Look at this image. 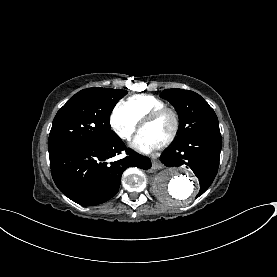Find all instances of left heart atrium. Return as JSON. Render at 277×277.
Returning a JSON list of instances; mask_svg holds the SVG:
<instances>
[{"label": "left heart atrium", "instance_id": "left-heart-atrium-1", "mask_svg": "<svg viewBox=\"0 0 277 277\" xmlns=\"http://www.w3.org/2000/svg\"><path fill=\"white\" fill-rule=\"evenodd\" d=\"M134 147L142 152H148L150 150L156 149L159 147L160 143L151 138L143 130L139 132L134 143Z\"/></svg>", "mask_w": 277, "mask_h": 277}]
</instances>
